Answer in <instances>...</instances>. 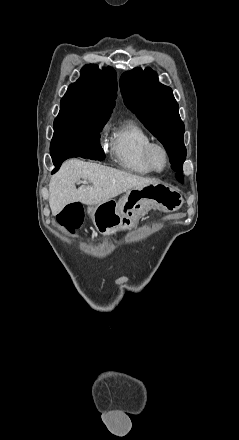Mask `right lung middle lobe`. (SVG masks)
I'll list each match as a JSON object with an SVG mask.
<instances>
[{
  "instance_id": "obj_1",
  "label": "right lung middle lobe",
  "mask_w": 239,
  "mask_h": 440,
  "mask_svg": "<svg viewBox=\"0 0 239 440\" xmlns=\"http://www.w3.org/2000/svg\"><path fill=\"white\" fill-rule=\"evenodd\" d=\"M109 117L76 115L59 112L54 120V135L50 144L51 155L86 144L99 145L100 135Z\"/></svg>"
}]
</instances>
